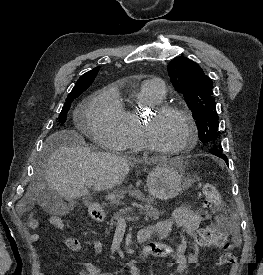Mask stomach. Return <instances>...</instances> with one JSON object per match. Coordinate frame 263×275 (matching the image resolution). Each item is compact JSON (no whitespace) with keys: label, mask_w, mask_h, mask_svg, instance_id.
Masks as SVG:
<instances>
[{"label":"stomach","mask_w":263,"mask_h":275,"mask_svg":"<svg viewBox=\"0 0 263 275\" xmlns=\"http://www.w3.org/2000/svg\"><path fill=\"white\" fill-rule=\"evenodd\" d=\"M149 193L161 200H168L179 195L184 189L181 169L169 164L156 165L147 176Z\"/></svg>","instance_id":"stomach-1"}]
</instances>
